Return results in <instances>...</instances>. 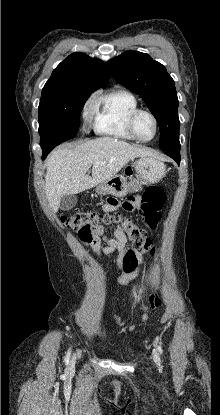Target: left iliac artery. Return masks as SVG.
<instances>
[{
  "instance_id": "1",
  "label": "left iliac artery",
  "mask_w": 220,
  "mask_h": 415,
  "mask_svg": "<svg viewBox=\"0 0 220 415\" xmlns=\"http://www.w3.org/2000/svg\"><path fill=\"white\" fill-rule=\"evenodd\" d=\"M157 349H158V351H159V353H160V354H162V353H163V349H162V347H161L160 345L158 346V348H157Z\"/></svg>"
}]
</instances>
